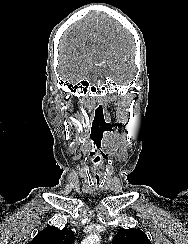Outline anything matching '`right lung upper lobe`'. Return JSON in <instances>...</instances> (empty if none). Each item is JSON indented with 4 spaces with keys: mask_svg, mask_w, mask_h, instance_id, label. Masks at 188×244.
Instances as JSON below:
<instances>
[{
    "mask_svg": "<svg viewBox=\"0 0 188 244\" xmlns=\"http://www.w3.org/2000/svg\"><path fill=\"white\" fill-rule=\"evenodd\" d=\"M74 232L66 227L63 230L57 227H47L38 233L28 244H72Z\"/></svg>",
    "mask_w": 188,
    "mask_h": 244,
    "instance_id": "1",
    "label": "right lung upper lobe"
}]
</instances>
